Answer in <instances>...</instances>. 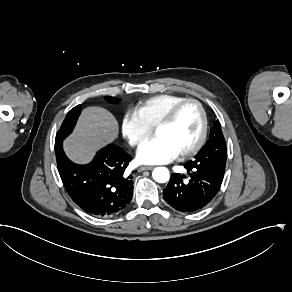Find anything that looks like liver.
<instances>
[{
	"mask_svg": "<svg viewBox=\"0 0 292 292\" xmlns=\"http://www.w3.org/2000/svg\"><path fill=\"white\" fill-rule=\"evenodd\" d=\"M118 132V122L108 110L86 107L74 132L64 141V150L73 162L87 164L98 149L117 138Z\"/></svg>",
	"mask_w": 292,
	"mask_h": 292,
	"instance_id": "liver-1",
	"label": "liver"
}]
</instances>
